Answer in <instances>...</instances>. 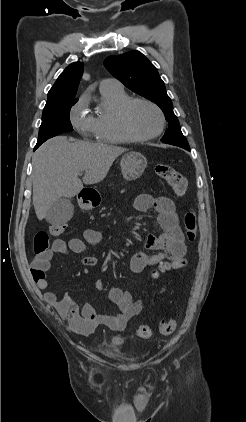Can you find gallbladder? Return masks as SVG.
Masks as SVG:
<instances>
[{
	"label": "gallbladder",
	"instance_id": "gallbladder-1",
	"mask_svg": "<svg viewBox=\"0 0 246 422\" xmlns=\"http://www.w3.org/2000/svg\"><path fill=\"white\" fill-rule=\"evenodd\" d=\"M74 206L69 198L57 199L48 209L45 219L50 224L62 225L67 223L73 216Z\"/></svg>",
	"mask_w": 246,
	"mask_h": 422
}]
</instances>
